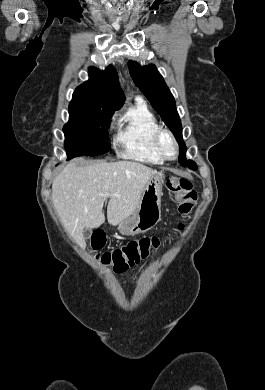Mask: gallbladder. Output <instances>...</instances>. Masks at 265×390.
Segmentation results:
<instances>
[{"instance_id": "bac80fb5", "label": "gallbladder", "mask_w": 265, "mask_h": 390, "mask_svg": "<svg viewBox=\"0 0 265 390\" xmlns=\"http://www.w3.org/2000/svg\"><path fill=\"white\" fill-rule=\"evenodd\" d=\"M90 230L89 229H85L84 232H83V235H84V238H89L90 237Z\"/></svg>"}]
</instances>
